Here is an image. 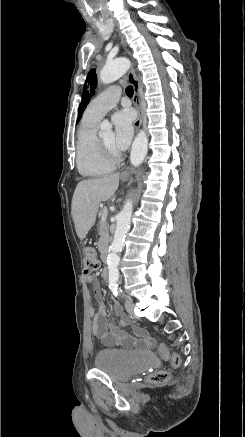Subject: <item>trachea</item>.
<instances>
[{
  "instance_id": "1",
  "label": "trachea",
  "mask_w": 245,
  "mask_h": 437,
  "mask_svg": "<svg viewBox=\"0 0 245 437\" xmlns=\"http://www.w3.org/2000/svg\"><path fill=\"white\" fill-rule=\"evenodd\" d=\"M133 93H134L133 86H128L126 88V94L131 97L133 96Z\"/></svg>"
}]
</instances>
